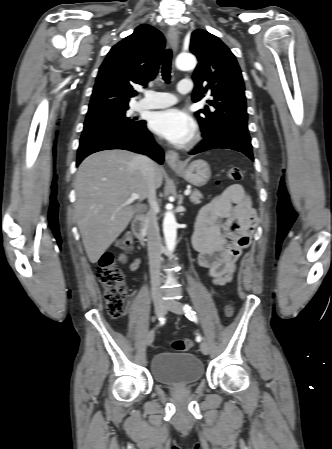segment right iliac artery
<instances>
[{"label": "right iliac artery", "mask_w": 332, "mask_h": 449, "mask_svg": "<svg viewBox=\"0 0 332 449\" xmlns=\"http://www.w3.org/2000/svg\"><path fill=\"white\" fill-rule=\"evenodd\" d=\"M164 322H165V318L164 317L159 318V323L160 324H163Z\"/></svg>", "instance_id": "obj_1"}]
</instances>
